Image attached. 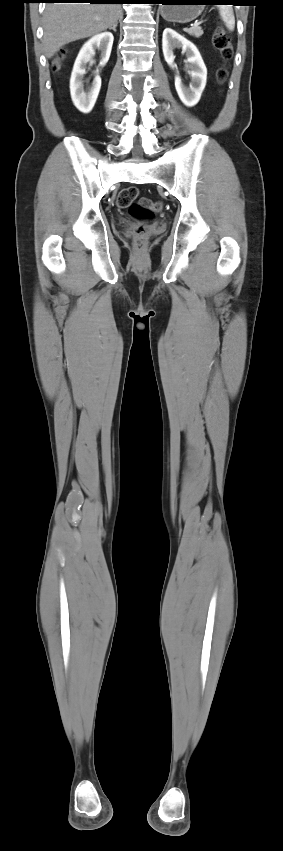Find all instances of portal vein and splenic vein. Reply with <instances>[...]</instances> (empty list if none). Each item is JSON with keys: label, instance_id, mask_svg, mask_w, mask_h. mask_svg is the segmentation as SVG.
<instances>
[{"label": "portal vein and splenic vein", "instance_id": "obj_1", "mask_svg": "<svg viewBox=\"0 0 283 851\" xmlns=\"http://www.w3.org/2000/svg\"><path fill=\"white\" fill-rule=\"evenodd\" d=\"M200 24H201V22H195V23H194V27H197V26H199Z\"/></svg>", "mask_w": 283, "mask_h": 851}]
</instances>
